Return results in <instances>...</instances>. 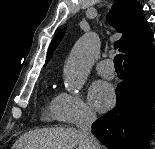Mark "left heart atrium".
I'll return each mask as SVG.
<instances>
[{"instance_id":"obj_1","label":"left heart atrium","mask_w":155,"mask_h":149,"mask_svg":"<svg viewBox=\"0 0 155 149\" xmlns=\"http://www.w3.org/2000/svg\"><path fill=\"white\" fill-rule=\"evenodd\" d=\"M115 100L112 86L104 81L95 82L89 91V101L99 112L108 110Z\"/></svg>"}]
</instances>
